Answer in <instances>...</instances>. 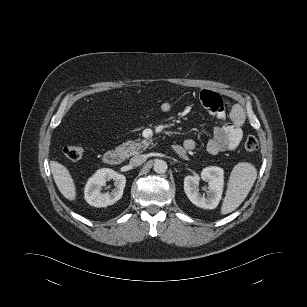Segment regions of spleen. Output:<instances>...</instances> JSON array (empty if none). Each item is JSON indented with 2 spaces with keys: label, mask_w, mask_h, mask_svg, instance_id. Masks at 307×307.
Masks as SVG:
<instances>
[{
  "label": "spleen",
  "mask_w": 307,
  "mask_h": 307,
  "mask_svg": "<svg viewBox=\"0 0 307 307\" xmlns=\"http://www.w3.org/2000/svg\"><path fill=\"white\" fill-rule=\"evenodd\" d=\"M257 178V169L247 162L234 166L228 181L226 196L221 207V214H228L237 209L249 194Z\"/></svg>",
  "instance_id": "spleen-1"
}]
</instances>
